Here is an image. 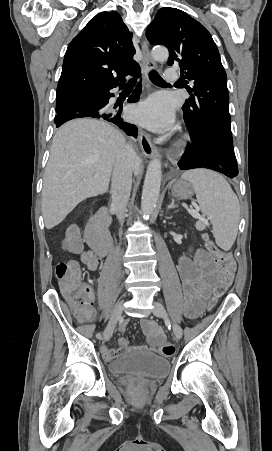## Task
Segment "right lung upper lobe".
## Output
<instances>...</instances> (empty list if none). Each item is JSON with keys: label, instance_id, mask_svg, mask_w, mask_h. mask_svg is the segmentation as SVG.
<instances>
[{"label": "right lung upper lobe", "instance_id": "right-lung-upper-lobe-1", "mask_svg": "<svg viewBox=\"0 0 272 451\" xmlns=\"http://www.w3.org/2000/svg\"><path fill=\"white\" fill-rule=\"evenodd\" d=\"M131 37L116 11L96 15L67 48L57 98L123 82L139 68L133 60L136 51Z\"/></svg>", "mask_w": 272, "mask_h": 451}]
</instances>
